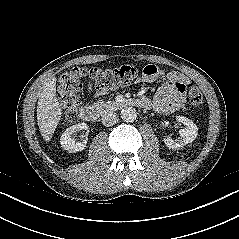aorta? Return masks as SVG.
<instances>
[{"label": "aorta", "mask_w": 239, "mask_h": 239, "mask_svg": "<svg viewBox=\"0 0 239 239\" xmlns=\"http://www.w3.org/2000/svg\"><path fill=\"white\" fill-rule=\"evenodd\" d=\"M121 118L125 122H134L137 118V112L133 107H125L121 110Z\"/></svg>", "instance_id": "aorta-1"}]
</instances>
